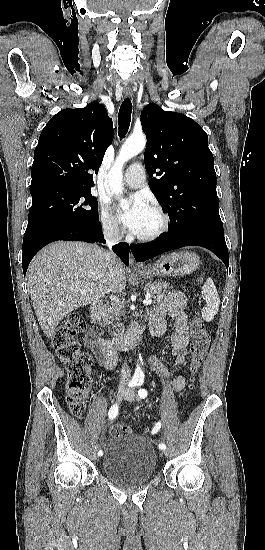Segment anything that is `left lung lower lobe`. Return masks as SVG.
I'll return each mask as SVG.
<instances>
[{"label":"left lung lower lobe","instance_id":"1","mask_svg":"<svg viewBox=\"0 0 265 550\" xmlns=\"http://www.w3.org/2000/svg\"><path fill=\"white\" fill-rule=\"evenodd\" d=\"M184 246H201L215 253L228 269L229 255L224 234L202 227H187L168 231L153 243L132 244L136 261H145L169 250Z\"/></svg>","mask_w":265,"mask_h":550}]
</instances>
